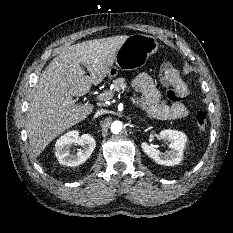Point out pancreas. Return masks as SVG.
Instances as JSON below:
<instances>
[{"mask_svg":"<svg viewBox=\"0 0 233 233\" xmlns=\"http://www.w3.org/2000/svg\"><path fill=\"white\" fill-rule=\"evenodd\" d=\"M113 86H114V89H113V92L115 91H120V90H125L127 88V85L125 83V78H117L115 80H113ZM111 92V93H113ZM137 99V102H140V98L139 97H136Z\"/></svg>","mask_w":233,"mask_h":233,"instance_id":"pancreas-1","label":"pancreas"}]
</instances>
